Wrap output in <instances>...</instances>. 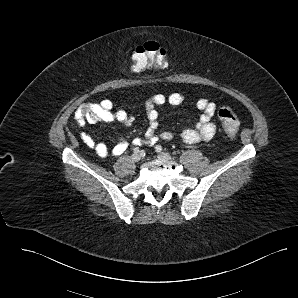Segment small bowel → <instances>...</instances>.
Instances as JSON below:
<instances>
[{
    "label": "small bowel",
    "instance_id": "small-bowel-1",
    "mask_svg": "<svg viewBox=\"0 0 298 298\" xmlns=\"http://www.w3.org/2000/svg\"><path fill=\"white\" fill-rule=\"evenodd\" d=\"M183 101L184 96L180 93H172L169 95L157 94L148 98L145 101V110L149 121L148 127L145 131L144 138H134L132 144L136 146L142 144L154 145L160 140H171L173 138L171 132L162 131L160 134L157 133L159 115L156 108L166 104L172 106L180 105ZM196 108L201 114L196 121L195 128L185 129L181 133L182 140L189 144L209 141L216 133V125L212 122L216 111L215 103L202 98L196 102ZM98 121L107 123L119 122L126 127H130L134 122V117L125 110L114 111L113 103L109 99L83 104L74 114V123L79 127ZM80 138L88 148L94 150L100 157L122 155L129 147V142L124 138H120L112 148H108L104 143L96 142L87 132H82Z\"/></svg>",
    "mask_w": 298,
    "mask_h": 298
}]
</instances>
